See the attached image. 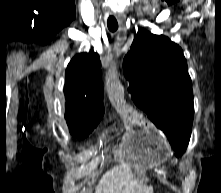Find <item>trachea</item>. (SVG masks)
Returning a JSON list of instances; mask_svg holds the SVG:
<instances>
[{
	"instance_id": "trachea-1",
	"label": "trachea",
	"mask_w": 221,
	"mask_h": 193,
	"mask_svg": "<svg viewBox=\"0 0 221 193\" xmlns=\"http://www.w3.org/2000/svg\"><path fill=\"white\" fill-rule=\"evenodd\" d=\"M107 25L111 32H115L118 29V22L114 16H109Z\"/></svg>"
}]
</instances>
